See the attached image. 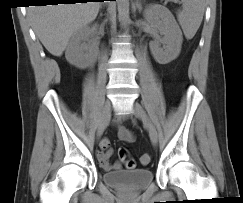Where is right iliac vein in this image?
<instances>
[{"instance_id": "1", "label": "right iliac vein", "mask_w": 243, "mask_h": 203, "mask_svg": "<svg viewBox=\"0 0 243 203\" xmlns=\"http://www.w3.org/2000/svg\"><path fill=\"white\" fill-rule=\"evenodd\" d=\"M110 116H111V102L110 100H106L102 110V115L98 124V128H97L98 139L102 136L106 126L108 125Z\"/></svg>"}]
</instances>
